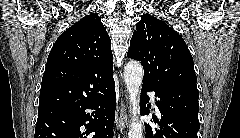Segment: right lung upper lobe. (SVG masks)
Returning <instances> with one entry per match:
<instances>
[{"instance_id": "obj_1", "label": "right lung upper lobe", "mask_w": 240, "mask_h": 138, "mask_svg": "<svg viewBox=\"0 0 240 138\" xmlns=\"http://www.w3.org/2000/svg\"><path fill=\"white\" fill-rule=\"evenodd\" d=\"M111 40L97 14H90L56 40L42 78L38 112L83 99L112 77Z\"/></svg>"}]
</instances>
